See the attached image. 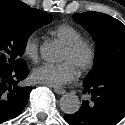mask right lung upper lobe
<instances>
[{
  "label": "right lung upper lobe",
  "instance_id": "right-lung-upper-lobe-1",
  "mask_svg": "<svg viewBox=\"0 0 125 125\" xmlns=\"http://www.w3.org/2000/svg\"><path fill=\"white\" fill-rule=\"evenodd\" d=\"M40 10L30 8L18 0H0V14H3L15 22L29 23L41 15Z\"/></svg>",
  "mask_w": 125,
  "mask_h": 125
}]
</instances>
